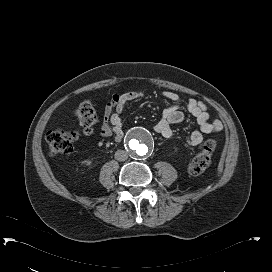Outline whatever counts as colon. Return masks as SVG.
Wrapping results in <instances>:
<instances>
[{
    "mask_svg": "<svg viewBox=\"0 0 272 272\" xmlns=\"http://www.w3.org/2000/svg\"><path fill=\"white\" fill-rule=\"evenodd\" d=\"M78 121L77 129L58 128L47 132L46 140L49 152L53 156L69 154L81 133L89 135L93 132L97 122L96 111L91 101L81 102L75 111ZM216 147V140L210 139L205 142L201 151L189 164V172L193 175L203 173L208 169L211 162V154Z\"/></svg>",
    "mask_w": 272,
    "mask_h": 272,
    "instance_id": "obj_1",
    "label": "colon"
}]
</instances>
